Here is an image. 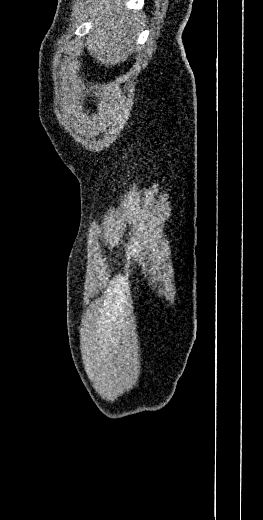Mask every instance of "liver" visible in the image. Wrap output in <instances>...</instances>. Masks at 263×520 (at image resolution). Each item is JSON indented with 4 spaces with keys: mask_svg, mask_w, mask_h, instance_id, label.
<instances>
[{
    "mask_svg": "<svg viewBox=\"0 0 263 520\" xmlns=\"http://www.w3.org/2000/svg\"><path fill=\"white\" fill-rule=\"evenodd\" d=\"M106 3L103 6V3ZM125 1H101L94 10V36L89 42L90 55L95 54L98 63L119 65L128 59L135 47L136 34L140 25L141 15L136 11L124 9ZM140 18V19H139Z\"/></svg>",
    "mask_w": 263,
    "mask_h": 520,
    "instance_id": "1",
    "label": "liver"
}]
</instances>
